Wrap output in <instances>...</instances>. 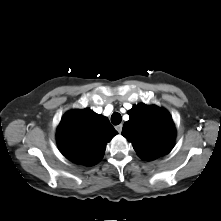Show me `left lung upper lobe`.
I'll return each instance as SVG.
<instances>
[{"label":"left lung upper lobe","mask_w":221,"mask_h":221,"mask_svg":"<svg viewBox=\"0 0 221 221\" xmlns=\"http://www.w3.org/2000/svg\"><path fill=\"white\" fill-rule=\"evenodd\" d=\"M128 114L130 119L124 123L122 135L132 143L140 158L155 160L172 150L176 131L166 110L138 104Z\"/></svg>","instance_id":"left-lung-upper-lobe-1"}]
</instances>
